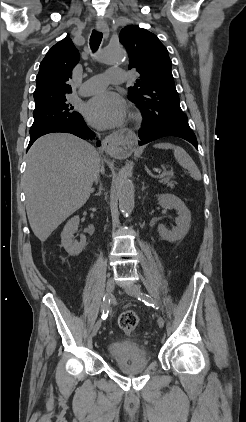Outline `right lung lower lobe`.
I'll return each instance as SVG.
<instances>
[{"mask_svg":"<svg viewBox=\"0 0 246 422\" xmlns=\"http://www.w3.org/2000/svg\"><path fill=\"white\" fill-rule=\"evenodd\" d=\"M54 132L71 133L82 139H92L95 136V134L87 127L83 118H81L80 120L70 124H56L30 134V142L27 150L37 138ZM97 146H100V141H97Z\"/></svg>","mask_w":246,"mask_h":422,"instance_id":"right-lung-lower-lobe-1","label":"right lung lower lobe"}]
</instances>
